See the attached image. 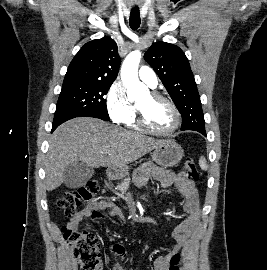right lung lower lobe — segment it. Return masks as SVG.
Returning a JSON list of instances; mask_svg holds the SVG:
<instances>
[{"instance_id":"1","label":"right lung lower lobe","mask_w":267,"mask_h":270,"mask_svg":"<svg viewBox=\"0 0 267 270\" xmlns=\"http://www.w3.org/2000/svg\"><path fill=\"white\" fill-rule=\"evenodd\" d=\"M83 116L84 117H94V118L102 119L104 121H109V117H105L103 115H98V114H87V115H83ZM75 117H81V116H70V115H65V114H55L51 132H53L63 122H65L67 120H70L72 118H75Z\"/></svg>"}]
</instances>
